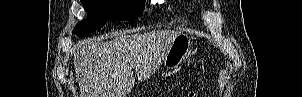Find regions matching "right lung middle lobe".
I'll list each match as a JSON object with an SVG mask.
<instances>
[{
    "mask_svg": "<svg viewBox=\"0 0 302 97\" xmlns=\"http://www.w3.org/2000/svg\"><path fill=\"white\" fill-rule=\"evenodd\" d=\"M144 2L141 0H81L90 18L79 22L73 33L82 38L101 28L106 21L132 20L142 14Z\"/></svg>",
    "mask_w": 302,
    "mask_h": 97,
    "instance_id": "right-lung-middle-lobe-1",
    "label": "right lung middle lobe"
}]
</instances>
